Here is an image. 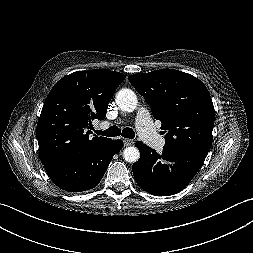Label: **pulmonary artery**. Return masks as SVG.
I'll return each mask as SVG.
<instances>
[{"label": "pulmonary artery", "mask_w": 253, "mask_h": 253, "mask_svg": "<svg viewBox=\"0 0 253 253\" xmlns=\"http://www.w3.org/2000/svg\"><path fill=\"white\" fill-rule=\"evenodd\" d=\"M106 123L102 124L105 127ZM137 130L140 137L153 148L161 149L165 139L160 136L154 128L152 119L147 110L141 109L137 114Z\"/></svg>", "instance_id": "e3ab8cb5"}]
</instances>
